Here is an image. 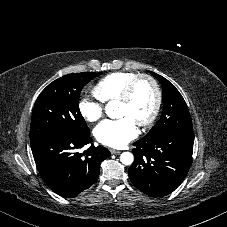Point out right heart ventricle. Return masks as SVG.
Wrapping results in <instances>:
<instances>
[{
    "label": "right heart ventricle",
    "instance_id": "right-heart-ventricle-1",
    "mask_svg": "<svg viewBox=\"0 0 227 227\" xmlns=\"http://www.w3.org/2000/svg\"><path fill=\"white\" fill-rule=\"evenodd\" d=\"M136 76L137 74L132 72H113L95 85L94 93L105 103L116 101L128 83Z\"/></svg>",
    "mask_w": 227,
    "mask_h": 227
}]
</instances>
